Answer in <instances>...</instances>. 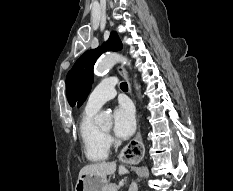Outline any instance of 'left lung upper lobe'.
Returning <instances> with one entry per match:
<instances>
[{
  "instance_id": "1",
  "label": "left lung upper lobe",
  "mask_w": 233,
  "mask_h": 191,
  "mask_svg": "<svg viewBox=\"0 0 233 191\" xmlns=\"http://www.w3.org/2000/svg\"><path fill=\"white\" fill-rule=\"evenodd\" d=\"M122 43L116 32L110 34L109 39L99 48L85 52L68 72L66 78L67 99L70 106L77 103L80 106L87 98L93 82V67L96 59L104 51H118Z\"/></svg>"
}]
</instances>
